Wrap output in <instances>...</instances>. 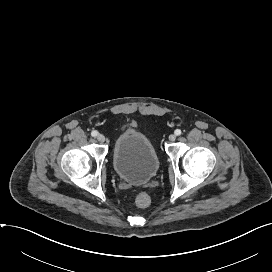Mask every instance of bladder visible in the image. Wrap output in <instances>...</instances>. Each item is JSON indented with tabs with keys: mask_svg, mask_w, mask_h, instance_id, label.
I'll return each mask as SVG.
<instances>
[{
	"mask_svg": "<svg viewBox=\"0 0 272 272\" xmlns=\"http://www.w3.org/2000/svg\"><path fill=\"white\" fill-rule=\"evenodd\" d=\"M159 165L154 145L142 133L128 130L116 139L113 166L122 180L144 184L156 175Z\"/></svg>",
	"mask_w": 272,
	"mask_h": 272,
	"instance_id": "1",
	"label": "bladder"
}]
</instances>
